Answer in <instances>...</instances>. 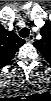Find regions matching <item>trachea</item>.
I'll list each match as a JSON object with an SVG mask.
<instances>
[{
	"instance_id": "3493384b",
	"label": "trachea",
	"mask_w": 51,
	"mask_h": 101,
	"mask_svg": "<svg viewBox=\"0 0 51 101\" xmlns=\"http://www.w3.org/2000/svg\"><path fill=\"white\" fill-rule=\"evenodd\" d=\"M29 34H30V31H29V29L26 28V27H25V28H22V29L20 30V32H19V35H20L22 38L28 37Z\"/></svg>"
}]
</instances>
